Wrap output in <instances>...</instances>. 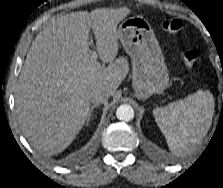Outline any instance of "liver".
<instances>
[{
  "label": "liver",
  "mask_w": 223,
  "mask_h": 188,
  "mask_svg": "<svg viewBox=\"0 0 223 188\" xmlns=\"http://www.w3.org/2000/svg\"><path fill=\"white\" fill-rule=\"evenodd\" d=\"M127 7L79 11L52 19L27 53L16 86V113L24 136L39 151L57 154L82 129L90 110V94L104 88L113 95L128 67L118 54L117 25ZM108 67L91 60L89 32Z\"/></svg>",
  "instance_id": "6515ba94"
}]
</instances>
